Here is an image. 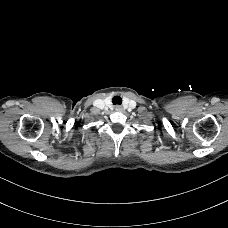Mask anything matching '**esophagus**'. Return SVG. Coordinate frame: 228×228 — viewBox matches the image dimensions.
I'll return each mask as SVG.
<instances>
[{"mask_svg":"<svg viewBox=\"0 0 228 228\" xmlns=\"http://www.w3.org/2000/svg\"><path fill=\"white\" fill-rule=\"evenodd\" d=\"M115 109H116L117 111H120V110H122V107H121V106H116Z\"/></svg>","mask_w":228,"mask_h":228,"instance_id":"obj_1","label":"esophagus"}]
</instances>
